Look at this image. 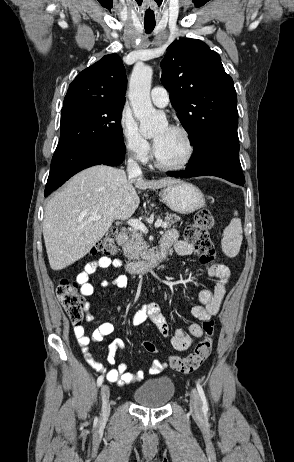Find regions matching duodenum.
<instances>
[{
	"label": "duodenum",
	"mask_w": 294,
	"mask_h": 462,
	"mask_svg": "<svg viewBox=\"0 0 294 462\" xmlns=\"http://www.w3.org/2000/svg\"><path fill=\"white\" fill-rule=\"evenodd\" d=\"M128 235L126 229H119L116 234V241L120 246H124L127 243ZM169 246L166 243H161L155 252L146 259L132 261L128 264V268L131 274L140 275L147 273L161 264L167 254Z\"/></svg>",
	"instance_id": "duodenum-1"
}]
</instances>
